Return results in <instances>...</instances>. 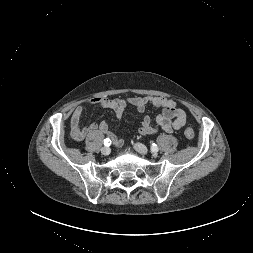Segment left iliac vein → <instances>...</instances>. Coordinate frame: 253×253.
I'll return each mask as SVG.
<instances>
[{
    "label": "left iliac vein",
    "instance_id": "1",
    "mask_svg": "<svg viewBox=\"0 0 253 253\" xmlns=\"http://www.w3.org/2000/svg\"><path fill=\"white\" fill-rule=\"evenodd\" d=\"M134 149H135L138 153H140V154H142V155H147V154H148V148H147L145 145L141 144V143H136V144L134 145Z\"/></svg>",
    "mask_w": 253,
    "mask_h": 253
}]
</instances>
